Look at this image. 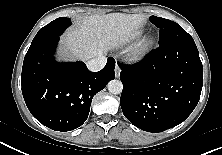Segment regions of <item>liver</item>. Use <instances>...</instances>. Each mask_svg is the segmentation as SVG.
<instances>
[{
  "label": "liver",
  "instance_id": "6515ba94",
  "mask_svg": "<svg viewBox=\"0 0 222 155\" xmlns=\"http://www.w3.org/2000/svg\"><path fill=\"white\" fill-rule=\"evenodd\" d=\"M141 14L110 13L85 17L63 37V52L87 61L126 42L145 21Z\"/></svg>",
  "mask_w": 222,
  "mask_h": 155
}]
</instances>
